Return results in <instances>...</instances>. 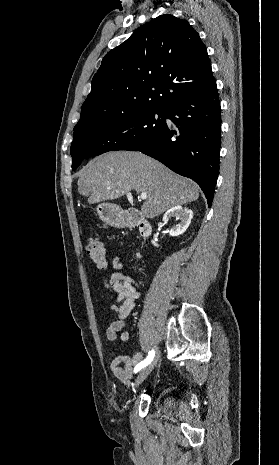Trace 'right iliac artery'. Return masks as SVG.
<instances>
[{
    "label": "right iliac artery",
    "mask_w": 279,
    "mask_h": 465,
    "mask_svg": "<svg viewBox=\"0 0 279 465\" xmlns=\"http://www.w3.org/2000/svg\"><path fill=\"white\" fill-rule=\"evenodd\" d=\"M154 355H155V352L152 350L149 352V355L146 357V359H144L140 364H138L136 367H135V373L138 372L139 370H141L142 368H144L146 365H148L152 359L154 358Z\"/></svg>",
    "instance_id": "obj_1"
}]
</instances>
